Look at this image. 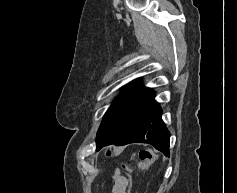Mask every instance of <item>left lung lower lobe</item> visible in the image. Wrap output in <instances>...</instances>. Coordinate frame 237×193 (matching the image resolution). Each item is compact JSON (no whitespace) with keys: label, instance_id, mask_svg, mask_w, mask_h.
<instances>
[{"label":"left lung lower lobe","instance_id":"0a47b994","mask_svg":"<svg viewBox=\"0 0 237 193\" xmlns=\"http://www.w3.org/2000/svg\"><path fill=\"white\" fill-rule=\"evenodd\" d=\"M161 113L159 104L154 100V92L148 90L114 144L121 146L130 143H148L165 156H169L170 133L161 119Z\"/></svg>","mask_w":237,"mask_h":193}]
</instances>
